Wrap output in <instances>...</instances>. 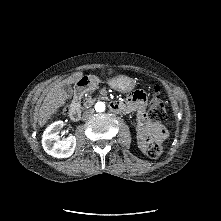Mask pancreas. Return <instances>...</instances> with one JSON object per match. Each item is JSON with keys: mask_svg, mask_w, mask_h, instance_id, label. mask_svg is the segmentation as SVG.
<instances>
[{"mask_svg": "<svg viewBox=\"0 0 221 221\" xmlns=\"http://www.w3.org/2000/svg\"><path fill=\"white\" fill-rule=\"evenodd\" d=\"M93 103H94V99H92V98L89 97V98L86 99V101L84 102L83 105H84L85 107H90V106L93 105Z\"/></svg>", "mask_w": 221, "mask_h": 221, "instance_id": "pancreas-1", "label": "pancreas"}]
</instances>
